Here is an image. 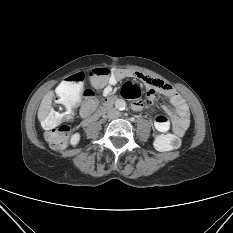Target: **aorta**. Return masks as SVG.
I'll return each instance as SVG.
<instances>
[{
    "label": "aorta",
    "mask_w": 233,
    "mask_h": 233,
    "mask_svg": "<svg viewBox=\"0 0 233 233\" xmlns=\"http://www.w3.org/2000/svg\"><path fill=\"white\" fill-rule=\"evenodd\" d=\"M117 106L119 109H123L125 107V102L123 100H119Z\"/></svg>",
    "instance_id": "aorta-1"
}]
</instances>
